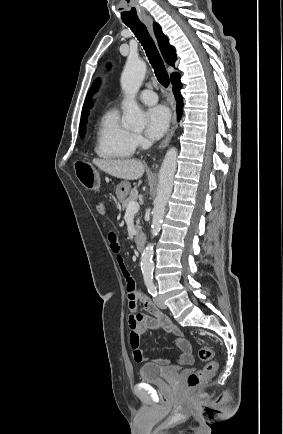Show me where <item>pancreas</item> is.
Wrapping results in <instances>:
<instances>
[{"mask_svg": "<svg viewBox=\"0 0 283 434\" xmlns=\"http://www.w3.org/2000/svg\"><path fill=\"white\" fill-rule=\"evenodd\" d=\"M136 198H137V191H136L135 189H133V190H131V192H130V196L127 197V198L122 202V208H123V209H127L128 204H129L131 201H135ZM136 223H137L136 228H137V231L139 232L140 229H141V227L139 226L140 220L138 219V220L136 221Z\"/></svg>", "mask_w": 283, "mask_h": 434, "instance_id": "cf45deb5", "label": "pancreas"}]
</instances>
